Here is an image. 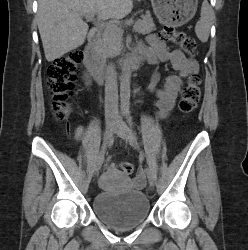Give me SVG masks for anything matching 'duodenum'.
<instances>
[{"mask_svg":"<svg viewBox=\"0 0 248 250\" xmlns=\"http://www.w3.org/2000/svg\"><path fill=\"white\" fill-rule=\"evenodd\" d=\"M100 28L93 26L88 35V42L84 48L83 62L88 70L99 82H104L108 76L110 67L105 65L99 57L98 47L100 42ZM146 56L140 52L124 59L118 65L121 71L138 68Z\"/></svg>","mask_w":248,"mask_h":250,"instance_id":"duodenum-1","label":"duodenum"}]
</instances>
